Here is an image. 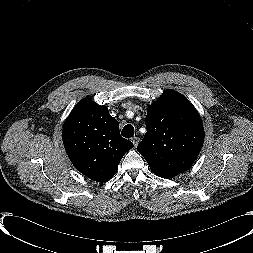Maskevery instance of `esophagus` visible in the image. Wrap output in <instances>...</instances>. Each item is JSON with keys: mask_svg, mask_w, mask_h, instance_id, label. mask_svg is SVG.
I'll use <instances>...</instances> for the list:
<instances>
[{"mask_svg": "<svg viewBox=\"0 0 253 253\" xmlns=\"http://www.w3.org/2000/svg\"><path fill=\"white\" fill-rule=\"evenodd\" d=\"M131 141H132L134 147H136L139 143V138L134 136V137L131 138Z\"/></svg>", "mask_w": 253, "mask_h": 253, "instance_id": "34e87169", "label": "esophagus"}]
</instances>
